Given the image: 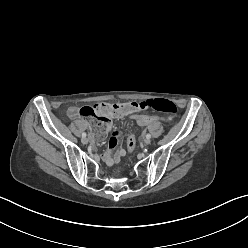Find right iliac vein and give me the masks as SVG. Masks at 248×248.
<instances>
[{
  "mask_svg": "<svg viewBox=\"0 0 248 248\" xmlns=\"http://www.w3.org/2000/svg\"><path fill=\"white\" fill-rule=\"evenodd\" d=\"M81 142H82L83 144H87V143H88V139H87L86 137H83V138L81 139Z\"/></svg>",
  "mask_w": 248,
  "mask_h": 248,
  "instance_id": "63e3f726",
  "label": "right iliac vein"
}]
</instances>
